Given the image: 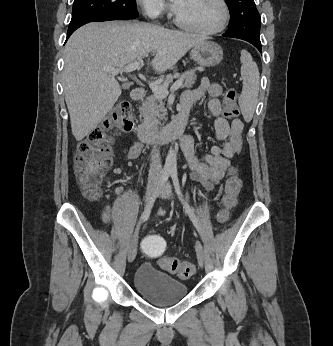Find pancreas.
Here are the masks:
<instances>
[{
	"label": "pancreas",
	"instance_id": "1",
	"mask_svg": "<svg viewBox=\"0 0 333 346\" xmlns=\"http://www.w3.org/2000/svg\"><path fill=\"white\" fill-rule=\"evenodd\" d=\"M175 76H180V79H182V88H191L196 81V74L194 70L186 71L182 75L175 71L174 74L167 75L161 85L168 87ZM140 114L143 117L142 124L145 127L149 129L156 128L160 124V120L164 119L166 116L163 98L157 97L155 94L147 97L142 103Z\"/></svg>",
	"mask_w": 333,
	"mask_h": 346
}]
</instances>
